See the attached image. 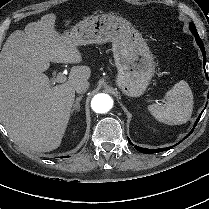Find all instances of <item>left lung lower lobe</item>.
<instances>
[{
	"label": "left lung lower lobe",
	"mask_w": 209,
	"mask_h": 209,
	"mask_svg": "<svg viewBox=\"0 0 209 209\" xmlns=\"http://www.w3.org/2000/svg\"><path fill=\"white\" fill-rule=\"evenodd\" d=\"M192 34L195 36L196 38V42L198 44V46L200 47L201 51H202V54H203V60H204V66H205V62H206V53H205V48H204V45H203V42L202 40L200 39L199 35H198V32H192ZM209 96V94H208ZM202 113L199 115L198 119L196 120L195 124H194V127L193 129L191 130V132L185 137L187 138L194 130L195 126L197 125L200 117H201ZM128 141L131 143L130 139L128 138ZM182 141H180L179 143H181ZM170 148L172 147H167V148H160V149H146V148H142V147H139V146H135V149H137L138 151L142 152V153H158V152H163V151H166V150H169Z\"/></svg>",
	"instance_id": "1"
}]
</instances>
